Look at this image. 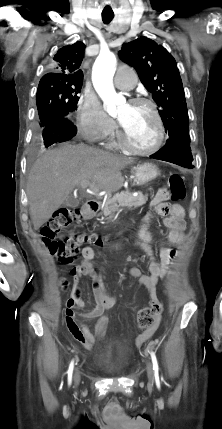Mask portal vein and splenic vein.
Returning a JSON list of instances; mask_svg holds the SVG:
<instances>
[{
  "mask_svg": "<svg viewBox=\"0 0 222 429\" xmlns=\"http://www.w3.org/2000/svg\"><path fill=\"white\" fill-rule=\"evenodd\" d=\"M81 187H82V188H84V189L89 187V189H90V190H89V192H90V191H95V192H96V191H98V190H97L96 188H94L93 186H90V184H89V182H88V181H84V182H82V183H81Z\"/></svg>",
  "mask_w": 222,
  "mask_h": 429,
  "instance_id": "obj_1",
  "label": "portal vein and splenic vein"
}]
</instances>
